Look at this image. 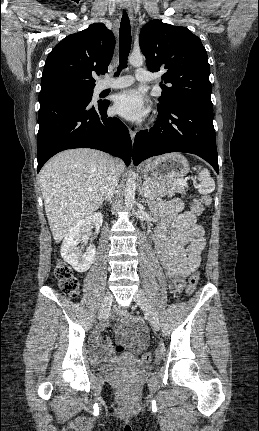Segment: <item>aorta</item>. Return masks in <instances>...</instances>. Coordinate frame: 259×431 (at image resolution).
I'll list each match as a JSON object with an SVG mask.
<instances>
[{"instance_id": "762f6f07", "label": "aorta", "mask_w": 259, "mask_h": 431, "mask_svg": "<svg viewBox=\"0 0 259 431\" xmlns=\"http://www.w3.org/2000/svg\"><path fill=\"white\" fill-rule=\"evenodd\" d=\"M128 61L131 65L135 67H140L143 65V57L140 54H132L129 56ZM135 190L136 182L134 179V173L131 171L129 177L127 178L126 188H125V205L128 209H131L135 203Z\"/></svg>"}]
</instances>
